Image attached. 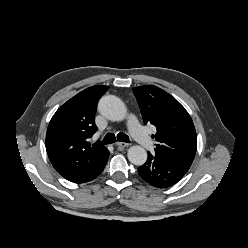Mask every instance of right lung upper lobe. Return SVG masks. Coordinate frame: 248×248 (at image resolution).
I'll return each instance as SVG.
<instances>
[{
  "label": "right lung upper lobe",
  "instance_id": "cb5924a9",
  "mask_svg": "<svg viewBox=\"0 0 248 248\" xmlns=\"http://www.w3.org/2000/svg\"><path fill=\"white\" fill-rule=\"evenodd\" d=\"M108 86L89 87L63 104L53 115L46 133V150L54 169L65 179L80 183L106 158L108 150L91 145L96 105Z\"/></svg>",
  "mask_w": 248,
  "mask_h": 248
}]
</instances>
